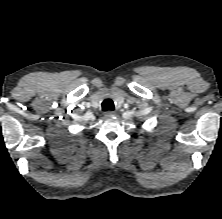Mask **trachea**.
<instances>
[{"mask_svg": "<svg viewBox=\"0 0 222 219\" xmlns=\"http://www.w3.org/2000/svg\"><path fill=\"white\" fill-rule=\"evenodd\" d=\"M102 110H114V102L111 99H106L102 102Z\"/></svg>", "mask_w": 222, "mask_h": 219, "instance_id": "3493384b", "label": "trachea"}]
</instances>
